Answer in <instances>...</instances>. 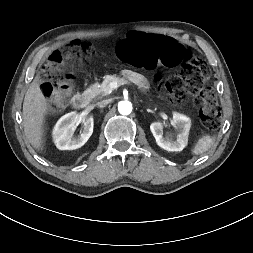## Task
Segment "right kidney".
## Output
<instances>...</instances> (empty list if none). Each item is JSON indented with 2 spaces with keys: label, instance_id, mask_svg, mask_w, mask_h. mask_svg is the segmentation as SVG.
Segmentation results:
<instances>
[{
  "label": "right kidney",
  "instance_id": "1",
  "mask_svg": "<svg viewBox=\"0 0 253 253\" xmlns=\"http://www.w3.org/2000/svg\"><path fill=\"white\" fill-rule=\"evenodd\" d=\"M83 122V132L77 138L73 137L74 131L80 122ZM93 118L79 119L78 114L71 112L62 116L54 126L52 135L59 150H75L82 147L93 133Z\"/></svg>",
  "mask_w": 253,
  "mask_h": 253
}]
</instances>
